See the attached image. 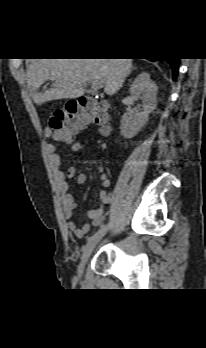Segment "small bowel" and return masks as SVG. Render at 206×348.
I'll return each mask as SVG.
<instances>
[{"label":"small bowel","mask_w":206,"mask_h":348,"mask_svg":"<svg viewBox=\"0 0 206 348\" xmlns=\"http://www.w3.org/2000/svg\"><path fill=\"white\" fill-rule=\"evenodd\" d=\"M70 149L73 152H80L83 150H89V147L82 142H73L70 145ZM47 155L52 168L54 182L56 188L60 194L61 203L63 207V214L67 221V230L73 233L76 237L84 236L92 226L99 225L105 218L104 207L110 202V197L105 189L100 191L99 201L100 205L97 208L88 210L87 216L91 220L90 224H85L82 227H77L72 220L77 202L75 196L69 192V186L67 179L76 176L78 184H85L87 177L84 173H77L75 167H70L67 171L62 169V161L54 145H47ZM100 172V182L104 188L110 186V179L104 173L102 167L98 168Z\"/></svg>","instance_id":"obj_1"}]
</instances>
